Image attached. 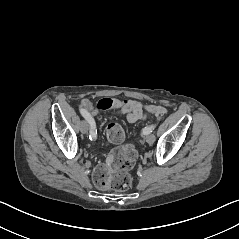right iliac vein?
<instances>
[{
	"label": "right iliac vein",
	"mask_w": 239,
	"mask_h": 239,
	"mask_svg": "<svg viewBox=\"0 0 239 239\" xmlns=\"http://www.w3.org/2000/svg\"><path fill=\"white\" fill-rule=\"evenodd\" d=\"M80 131L84 134L88 132V123L86 121L81 122Z\"/></svg>",
	"instance_id": "1"
}]
</instances>
